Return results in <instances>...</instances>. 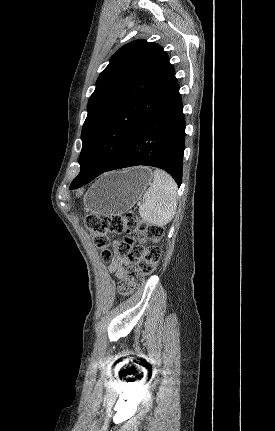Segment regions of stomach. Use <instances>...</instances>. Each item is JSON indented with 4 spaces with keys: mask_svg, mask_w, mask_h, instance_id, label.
Returning <instances> with one entry per match:
<instances>
[{
    "mask_svg": "<svg viewBox=\"0 0 275 431\" xmlns=\"http://www.w3.org/2000/svg\"><path fill=\"white\" fill-rule=\"evenodd\" d=\"M152 179V171L147 167L107 173L85 195L84 206L93 214H122L141 199Z\"/></svg>",
    "mask_w": 275,
    "mask_h": 431,
    "instance_id": "stomach-1",
    "label": "stomach"
}]
</instances>
